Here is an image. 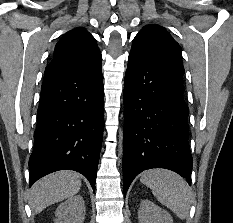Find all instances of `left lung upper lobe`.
Returning a JSON list of instances; mask_svg holds the SVG:
<instances>
[{"label":"left lung upper lobe","instance_id":"1","mask_svg":"<svg viewBox=\"0 0 233 223\" xmlns=\"http://www.w3.org/2000/svg\"><path fill=\"white\" fill-rule=\"evenodd\" d=\"M133 44L141 46L159 61L184 73L182 49L172 36L159 25H147L136 35Z\"/></svg>","mask_w":233,"mask_h":223}]
</instances>
